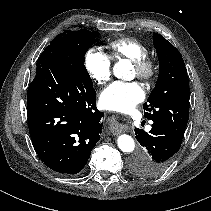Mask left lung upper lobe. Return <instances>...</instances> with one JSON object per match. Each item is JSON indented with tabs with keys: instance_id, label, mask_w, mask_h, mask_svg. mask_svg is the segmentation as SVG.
Here are the masks:
<instances>
[{
	"instance_id": "5c2ea615",
	"label": "left lung upper lobe",
	"mask_w": 211,
	"mask_h": 211,
	"mask_svg": "<svg viewBox=\"0 0 211 211\" xmlns=\"http://www.w3.org/2000/svg\"><path fill=\"white\" fill-rule=\"evenodd\" d=\"M159 58V76L143 105L144 116L166 122L184 133L189 119V82L180 52L163 36L153 33Z\"/></svg>"
}]
</instances>
